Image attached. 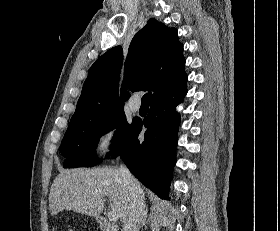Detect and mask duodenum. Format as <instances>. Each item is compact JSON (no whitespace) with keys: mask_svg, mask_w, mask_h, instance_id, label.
Listing matches in <instances>:
<instances>
[{"mask_svg":"<svg viewBox=\"0 0 280 231\" xmlns=\"http://www.w3.org/2000/svg\"><path fill=\"white\" fill-rule=\"evenodd\" d=\"M98 222L103 231H119V229L104 216L99 217Z\"/></svg>","mask_w":280,"mask_h":231,"instance_id":"duodenum-1","label":"duodenum"}]
</instances>
